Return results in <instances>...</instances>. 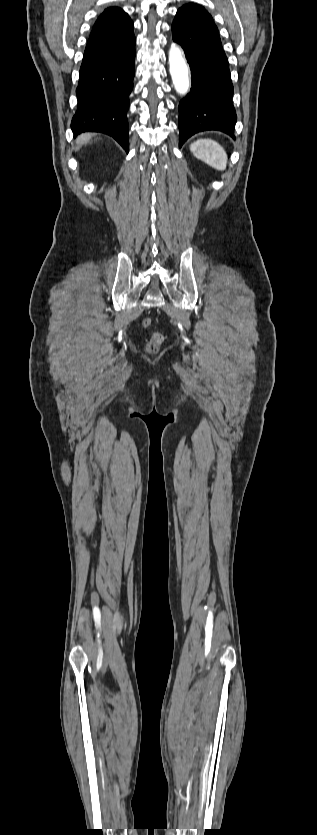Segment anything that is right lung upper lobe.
Masks as SVG:
<instances>
[{"label":"right lung upper lobe","mask_w":317,"mask_h":835,"mask_svg":"<svg viewBox=\"0 0 317 835\" xmlns=\"http://www.w3.org/2000/svg\"><path fill=\"white\" fill-rule=\"evenodd\" d=\"M133 33V22L121 8L111 7L99 16L94 24L91 36L97 35L106 42L115 43Z\"/></svg>","instance_id":"1"}]
</instances>
